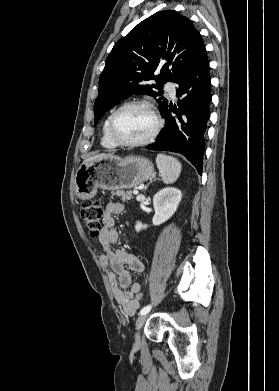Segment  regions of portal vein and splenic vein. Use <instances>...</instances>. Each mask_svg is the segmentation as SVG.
<instances>
[{"instance_id": "portal-vein-and-splenic-vein-1", "label": "portal vein and splenic vein", "mask_w": 279, "mask_h": 391, "mask_svg": "<svg viewBox=\"0 0 279 391\" xmlns=\"http://www.w3.org/2000/svg\"><path fill=\"white\" fill-rule=\"evenodd\" d=\"M133 193L137 195L139 192L137 190H134Z\"/></svg>"}]
</instances>
